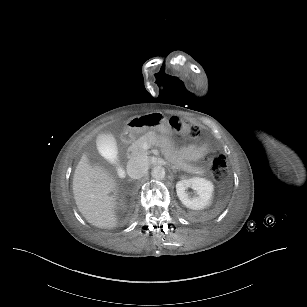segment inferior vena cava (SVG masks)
<instances>
[{"mask_svg": "<svg viewBox=\"0 0 307 307\" xmlns=\"http://www.w3.org/2000/svg\"><path fill=\"white\" fill-rule=\"evenodd\" d=\"M147 170L145 163L138 158H132L128 161L127 173L132 179H141L146 175Z\"/></svg>", "mask_w": 307, "mask_h": 307, "instance_id": "1", "label": "inferior vena cava"}]
</instances>
